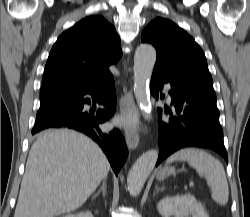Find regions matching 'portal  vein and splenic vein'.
I'll list each match as a JSON object with an SVG mask.
<instances>
[{
	"mask_svg": "<svg viewBox=\"0 0 250 217\" xmlns=\"http://www.w3.org/2000/svg\"><path fill=\"white\" fill-rule=\"evenodd\" d=\"M194 185V183L193 182H190V186H193Z\"/></svg>",
	"mask_w": 250,
	"mask_h": 217,
	"instance_id": "portal-vein-and-splenic-vein-1",
	"label": "portal vein and splenic vein"
}]
</instances>
